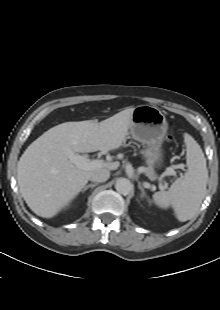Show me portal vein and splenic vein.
Instances as JSON below:
<instances>
[{
	"instance_id": "obj_1",
	"label": "portal vein and splenic vein",
	"mask_w": 220,
	"mask_h": 310,
	"mask_svg": "<svg viewBox=\"0 0 220 310\" xmlns=\"http://www.w3.org/2000/svg\"><path fill=\"white\" fill-rule=\"evenodd\" d=\"M68 158L70 162H72L74 165H76L78 168L83 170H92L96 168H102L104 166V162L102 160H89L88 156L86 155H78L75 154L72 151H69ZM183 165H177L175 167H170L167 170V173L173 176H176V171L174 168H182ZM166 185L164 186V188Z\"/></svg>"
}]
</instances>
